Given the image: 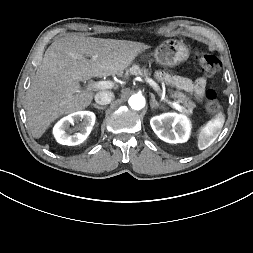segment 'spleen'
<instances>
[{
	"mask_svg": "<svg viewBox=\"0 0 253 253\" xmlns=\"http://www.w3.org/2000/svg\"><path fill=\"white\" fill-rule=\"evenodd\" d=\"M225 122V117L222 114L217 115L204 125L198 134L197 146L199 150H204L209 147L218 137Z\"/></svg>",
	"mask_w": 253,
	"mask_h": 253,
	"instance_id": "1",
	"label": "spleen"
}]
</instances>
